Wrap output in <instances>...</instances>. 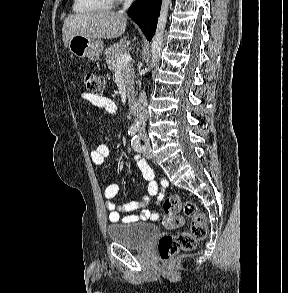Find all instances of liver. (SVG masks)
<instances>
[{"label": "liver", "mask_w": 288, "mask_h": 293, "mask_svg": "<svg viewBox=\"0 0 288 293\" xmlns=\"http://www.w3.org/2000/svg\"><path fill=\"white\" fill-rule=\"evenodd\" d=\"M127 17L121 12L98 11L70 15L64 20L62 37L65 47L74 35L91 39H114L126 29Z\"/></svg>", "instance_id": "obj_1"}]
</instances>
